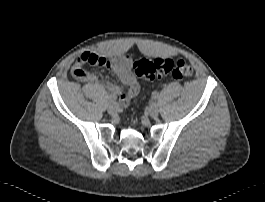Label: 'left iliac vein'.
Masks as SVG:
<instances>
[{
	"label": "left iliac vein",
	"instance_id": "1",
	"mask_svg": "<svg viewBox=\"0 0 265 202\" xmlns=\"http://www.w3.org/2000/svg\"><path fill=\"white\" fill-rule=\"evenodd\" d=\"M149 115L151 117H157L158 114H159V109H158V105L156 103H152L150 106H149Z\"/></svg>",
	"mask_w": 265,
	"mask_h": 202
}]
</instances>
